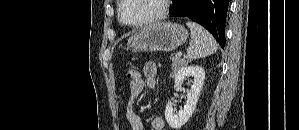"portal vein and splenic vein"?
I'll return each instance as SVG.
<instances>
[{
    "instance_id": "18ae733b",
    "label": "portal vein and splenic vein",
    "mask_w": 299,
    "mask_h": 130,
    "mask_svg": "<svg viewBox=\"0 0 299 130\" xmlns=\"http://www.w3.org/2000/svg\"><path fill=\"white\" fill-rule=\"evenodd\" d=\"M177 56H178V57L182 56V53H181V52H178V53H177Z\"/></svg>"
}]
</instances>
